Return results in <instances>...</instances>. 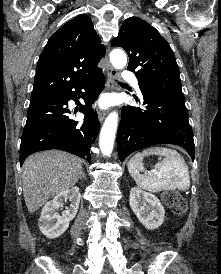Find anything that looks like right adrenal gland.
<instances>
[{
    "mask_svg": "<svg viewBox=\"0 0 221 274\" xmlns=\"http://www.w3.org/2000/svg\"><path fill=\"white\" fill-rule=\"evenodd\" d=\"M80 179H84V180H86V176H85V173L83 172L82 173V176H81V178Z\"/></svg>",
    "mask_w": 221,
    "mask_h": 274,
    "instance_id": "1",
    "label": "right adrenal gland"
}]
</instances>
